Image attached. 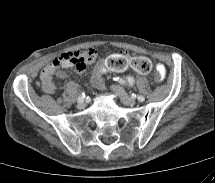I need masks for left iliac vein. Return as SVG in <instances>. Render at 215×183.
I'll return each mask as SVG.
<instances>
[{
  "label": "left iliac vein",
  "mask_w": 215,
  "mask_h": 183,
  "mask_svg": "<svg viewBox=\"0 0 215 183\" xmlns=\"http://www.w3.org/2000/svg\"><path fill=\"white\" fill-rule=\"evenodd\" d=\"M111 90L120 97L121 101L124 104L134 105L136 103V100L133 97L129 96L122 87L118 85H112Z\"/></svg>",
  "instance_id": "obj_1"
}]
</instances>
